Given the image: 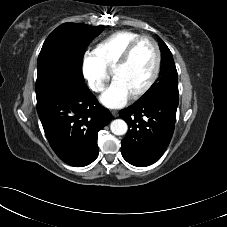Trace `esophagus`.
I'll return each instance as SVG.
<instances>
[{
    "instance_id": "esophagus-1",
    "label": "esophagus",
    "mask_w": 227,
    "mask_h": 227,
    "mask_svg": "<svg viewBox=\"0 0 227 227\" xmlns=\"http://www.w3.org/2000/svg\"><path fill=\"white\" fill-rule=\"evenodd\" d=\"M112 115H113V117H118V111H116V110L112 111Z\"/></svg>"
}]
</instances>
